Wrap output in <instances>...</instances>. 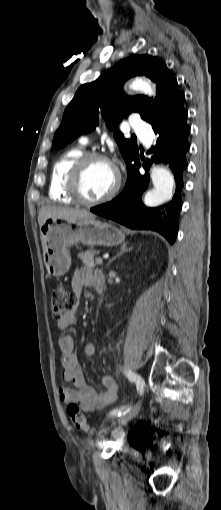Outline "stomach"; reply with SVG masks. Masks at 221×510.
Masks as SVG:
<instances>
[{"instance_id":"stomach-1","label":"stomach","mask_w":221,"mask_h":510,"mask_svg":"<svg viewBox=\"0 0 221 510\" xmlns=\"http://www.w3.org/2000/svg\"><path fill=\"white\" fill-rule=\"evenodd\" d=\"M43 258L50 275L63 276L70 268L69 247L80 242L87 246H116L124 242V232L112 223L93 219L68 221L49 217L40 228Z\"/></svg>"}]
</instances>
